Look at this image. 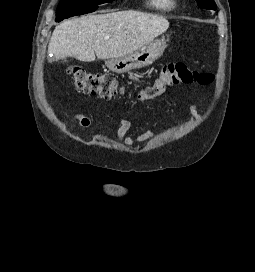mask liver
<instances>
[{"label": "liver", "instance_id": "liver-1", "mask_svg": "<svg viewBox=\"0 0 255 272\" xmlns=\"http://www.w3.org/2000/svg\"><path fill=\"white\" fill-rule=\"evenodd\" d=\"M168 27L165 17L134 10L82 16L56 26L48 52L55 60H113L151 43Z\"/></svg>", "mask_w": 255, "mask_h": 272}]
</instances>
